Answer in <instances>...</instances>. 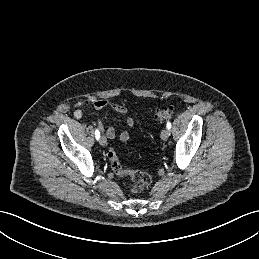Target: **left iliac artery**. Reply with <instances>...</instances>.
<instances>
[{"instance_id":"44dca946","label":"left iliac artery","mask_w":259,"mask_h":259,"mask_svg":"<svg viewBox=\"0 0 259 259\" xmlns=\"http://www.w3.org/2000/svg\"><path fill=\"white\" fill-rule=\"evenodd\" d=\"M166 127H167L168 130L171 129V123L169 121L167 122Z\"/></svg>"}]
</instances>
